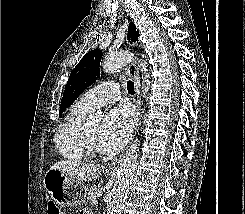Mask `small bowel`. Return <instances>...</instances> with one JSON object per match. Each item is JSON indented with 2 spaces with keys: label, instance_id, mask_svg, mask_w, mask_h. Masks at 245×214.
I'll return each instance as SVG.
<instances>
[{
  "label": "small bowel",
  "instance_id": "obj_1",
  "mask_svg": "<svg viewBox=\"0 0 245 214\" xmlns=\"http://www.w3.org/2000/svg\"><path fill=\"white\" fill-rule=\"evenodd\" d=\"M80 214H91L89 209H83L81 210Z\"/></svg>",
  "mask_w": 245,
  "mask_h": 214
}]
</instances>
